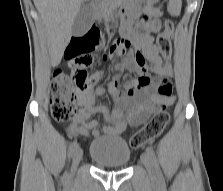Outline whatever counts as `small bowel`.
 <instances>
[{"instance_id":"obj_1","label":"small bowel","mask_w":223,"mask_h":191,"mask_svg":"<svg viewBox=\"0 0 223 191\" xmlns=\"http://www.w3.org/2000/svg\"><path fill=\"white\" fill-rule=\"evenodd\" d=\"M145 13L147 14L145 18L140 20L142 32L137 33L127 23H124L121 27V34L131 41L145 58L160 67V62H166L159 54L154 37L161 29V21L158 18L160 12L149 3L145 7ZM136 54L139 53L134 52L125 64L130 70L139 73ZM108 57L107 54L103 55L104 59ZM146 86L138 85L137 78H134L125 84L126 92L124 93L120 90L119 81L113 79L106 88L96 87L78 94L77 103L80 110L68 125L67 133L70 136L87 137L119 134L127 125L138 126L147 120L152 111L159 107L169 106L174 102L175 97L168 78L155 77L152 83L155 88L153 92H148L145 89ZM107 92L113 100V109L97 103V98ZM93 115L99 118L90 120L89 118ZM103 121L107 124L102 125Z\"/></svg>"}]
</instances>
